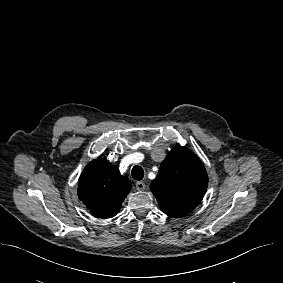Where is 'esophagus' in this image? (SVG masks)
<instances>
[{
	"mask_svg": "<svg viewBox=\"0 0 283 283\" xmlns=\"http://www.w3.org/2000/svg\"><path fill=\"white\" fill-rule=\"evenodd\" d=\"M145 186H146L145 183L142 182V181H137L136 182V189L139 190V191L144 190Z\"/></svg>",
	"mask_w": 283,
	"mask_h": 283,
	"instance_id": "obj_1",
	"label": "esophagus"
}]
</instances>
